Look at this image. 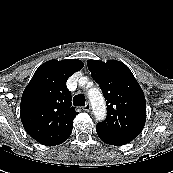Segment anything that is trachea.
I'll list each match as a JSON object with an SVG mask.
<instances>
[{
	"label": "trachea",
	"mask_w": 173,
	"mask_h": 173,
	"mask_svg": "<svg viewBox=\"0 0 173 173\" xmlns=\"http://www.w3.org/2000/svg\"><path fill=\"white\" fill-rule=\"evenodd\" d=\"M85 96L83 94L75 95L73 98L74 106H84L85 105Z\"/></svg>",
	"instance_id": "trachea-1"
}]
</instances>
